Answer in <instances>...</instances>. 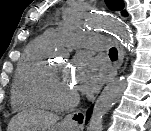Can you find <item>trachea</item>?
I'll return each instance as SVG.
<instances>
[{
	"label": "trachea",
	"instance_id": "3493384b",
	"mask_svg": "<svg viewBox=\"0 0 151 131\" xmlns=\"http://www.w3.org/2000/svg\"><path fill=\"white\" fill-rule=\"evenodd\" d=\"M109 56L112 58H117L118 57V52L116 48H111L109 50Z\"/></svg>",
	"mask_w": 151,
	"mask_h": 131
}]
</instances>
